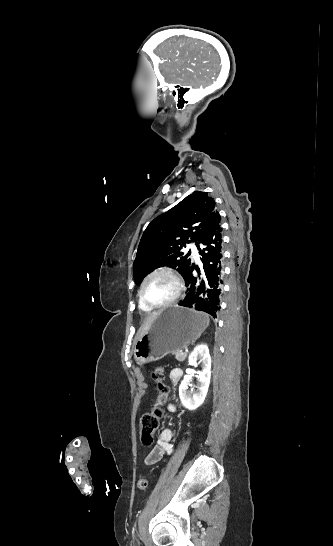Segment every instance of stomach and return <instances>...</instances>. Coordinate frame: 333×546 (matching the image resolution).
Instances as JSON below:
<instances>
[{
	"label": "stomach",
	"mask_w": 333,
	"mask_h": 546,
	"mask_svg": "<svg viewBox=\"0 0 333 546\" xmlns=\"http://www.w3.org/2000/svg\"><path fill=\"white\" fill-rule=\"evenodd\" d=\"M208 324L205 313L178 306L164 309L134 344V358L143 365L186 348L200 337Z\"/></svg>",
	"instance_id": "1"
}]
</instances>
